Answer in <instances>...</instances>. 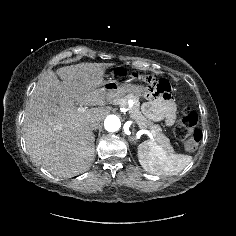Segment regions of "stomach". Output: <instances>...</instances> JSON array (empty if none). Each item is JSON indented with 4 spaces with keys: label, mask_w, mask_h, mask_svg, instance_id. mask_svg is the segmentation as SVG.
<instances>
[{
    "label": "stomach",
    "mask_w": 236,
    "mask_h": 236,
    "mask_svg": "<svg viewBox=\"0 0 236 236\" xmlns=\"http://www.w3.org/2000/svg\"><path fill=\"white\" fill-rule=\"evenodd\" d=\"M110 99L121 98L126 95H132L139 100L140 97L148 93V88L143 84H136L131 81L119 83L116 80H108L102 86Z\"/></svg>",
    "instance_id": "0dacf381"
}]
</instances>
